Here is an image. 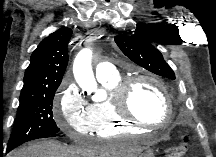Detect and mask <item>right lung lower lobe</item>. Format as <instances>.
<instances>
[{"label": "right lung lower lobe", "instance_id": "1", "mask_svg": "<svg viewBox=\"0 0 216 157\" xmlns=\"http://www.w3.org/2000/svg\"><path fill=\"white\" fill-rule=\"evenodd\" d=\"M58 134H54V135H50V136H46V137H53V136H57ZM13 148L12 147H7V151L6 152H9L11 151Z\"/></svg>", "mask_w": 216, "mask_h": 157}]
</instances>
